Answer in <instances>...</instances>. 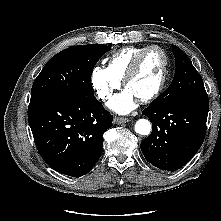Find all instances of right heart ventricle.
<instances>
[{"label":"right heart ventricle","mask_w":221,"mask_h":221,"mask_svg":"<svg viewBox=\"0 0 221 221\" xmlns=\"http://www.w3.org/2000/svg\"><path fill=\"white\" fill-rule=\"evenodd\" d=\"M146 47H124L117 50L109 59L108 69L110 72L122 80L134 57Z\"/></svg>","instance_id":"obj_1"}]
</instances>
